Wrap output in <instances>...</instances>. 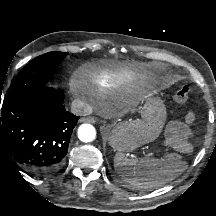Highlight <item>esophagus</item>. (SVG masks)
Here are the masks:
<instances>
[{
    "instance_id": "1",
    "label": "esophagus",
    "mask_w": 216,
    "mask_h": 216,
    "mask_svg": "<svg viewBox=\"0 0 216 216\" xmlns=\"http://www.w3.org/2000/svg\"><path fill=\"white\" fill-rule=\"evenodd\" d=\"M81 122L95 123L96 119L94 117H84L80 120Z\"/></svg>"
}]
</instances>
